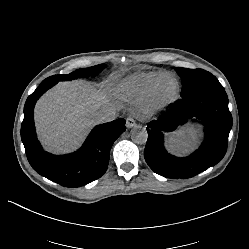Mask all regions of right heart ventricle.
I'll return each mask as SVG.
<instances>
[{"mask_svg": "<svg viewBox=\"0 0 249 249\" xmlns=\"http://www.w3.org/2000/svg\"><path fill=\"white\" fill-rule=\"evenodd\" d=\"M167 74H170L167 70L134 73L122 81L120 90L126 100H136L143 96L157 79Z\"/></svg>", "mask_w": 249, "mask_h": 249, "instance_id": "e07e8e85", "label": "right heart ventricle"}]
</instances>
